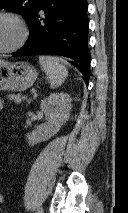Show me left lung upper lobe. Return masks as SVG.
Wrapping results in <instances>:
<instances>
[{
  "instance_id": "5c2ea615",
  "label": "left lung upper lobe",
  "mask_w": 128,
  "mask_h": 213,
  "mask_svg": "<svg viewBox=\"0 0 128 213\" xmlns=\"http://www.w3.org/2000/svg\"><path fill=\"white\" fill-rule=\"evenodd\" d=\"M37 2L38 0H0V9L5 8L21 14L29 26Z\"/></svg>"
}]
</instances>
